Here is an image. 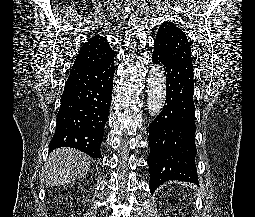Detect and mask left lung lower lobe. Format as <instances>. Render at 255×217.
<instances>
[{"instance_id": "obj_1", "label": "left lung lower lobe", "mask_w": 255, "mask_h": 217, "mask_svg": "<svg viewBox=\"0 0 255 217\" xmlns=\"http://www.w3.org/2000/svg\"><path fill=\"white\" fill-rule=\"evenodd\" d=\"M152 61L166 72V105L149 125L148 157L151 192L169 180L198 184L194 73L189 63L154 47Z\"/></svg>"}]
</instances>
